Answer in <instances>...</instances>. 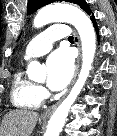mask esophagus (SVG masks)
Returning <instances> with one entry per match:
<instances>
[{
    "label": "esophagus",
    "instance_id": "esophagus-1",
    "mask_svg": "<svg viewBox=\"0 0 117 136\" xmlns=\"http://www.w3.org/2000/svg\"><path fill=\"white\" fill-rule=\"evenodd\" d=\"M74 41H75V43H76V45L78 47L79 54H78V57H77V60H76L75 72H74V76H73L71 85L74 83V81L76 79V76L78 74L79 65H80V59H81L80 40H79V37H78L77 33H74ZM57 105H58V103H56V104L52 105L51 107L47 108L41 114V117L42 118H47V117L51 116L52 113L54 112V110L56 109Z\"/></svg>",
    "mask_w": 117,
    "mask_h": 136
}]
</instances>
